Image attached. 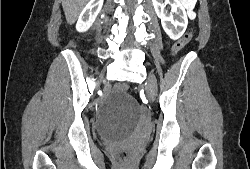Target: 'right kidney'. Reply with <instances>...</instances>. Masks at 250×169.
<instances>
[{"mask_svg":"<svg viewBox=\"0 0 250 169\" xmlns=\"http://www.w3.org/2000/svg\"><path fill=\"white\" fill-rule=\"evenodd\" d=\"M103 6V0H89L88 4L84 6L82 12L79 14V18L76 22V30L78 32H85L92 22H94L98 12H100Z\"/></svg>","mask_w":250,"mask_h":169,"instance_id":"obj_1","label":"right kidney"}]
</instances>
